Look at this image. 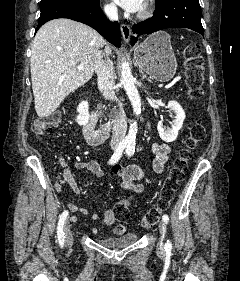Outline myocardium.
<instances>
[{
  "label": "myocardium",
  "mask_w": 240,
  "mask_h": 281,
  "mask_svg": "<svg viewBox=\"0 0 240 281\" xmlns=\"http://www.w3.org/2000/svg\"><path fill=\"white\" fill-rule=\"evenodd\" d=\"M151 13V4L150 2H146L144 8L141 10V12L138 14L139 18H146Z\"/></svg>",
  "instance_id": "myocardium-1"
}]
</instances>
